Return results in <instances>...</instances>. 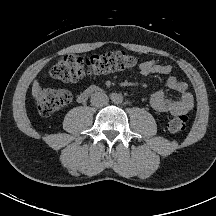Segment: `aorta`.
<instances>
[{
    "label": "aorta",
    "mask_w": 216,
    "mask_h": 216,
    "mask_svg": "<svg viewBox=\"0 0 216 216\" xmlns=\"http://www.w3.org/2000/svg\"><path fill=\"white\" fill-rule=\"evenodd\" d=\"M111 100H112L115 104H119V103H122V102H123V96H122V94L114 93V94H112V96H111Z\"/></svg>",
    "instance_id": "762f6f07"
}]
</instances>
